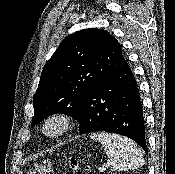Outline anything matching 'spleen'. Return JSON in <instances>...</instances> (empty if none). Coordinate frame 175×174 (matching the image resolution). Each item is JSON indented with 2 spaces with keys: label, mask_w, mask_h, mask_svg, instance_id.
<instances>
[{
  "label": "spleen",
  "mask_w": 175,
  "mask_h": 174,
  "mask_svg": "<svg viewBox=\"0 0 175 174\" xmlns=\"http://www.w3.org/2000/svg\"><path fill=\"white\" fill-rule=\"evenodd\" d=\"M90 138L101 142L112 171L138 169L144 165L143 154L132 140L106 132L92 133Z\"/></svg>",
  "instance_id": "1"
}]
</instances>
